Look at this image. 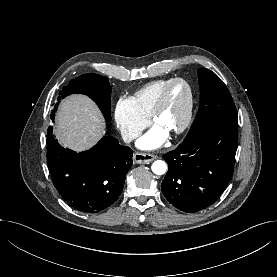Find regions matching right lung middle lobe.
Listing matches in <instances>:
<instances>
[{
  "label": "right lung middle lobe",
  "instance_id": "1",
  "mask_svg": "<svg viewBox=\"0 0 277 277\" xmlns=\"http://www.w3.org/2000/svg\"><path fill=\"white\" fill-rule=\"evenodd\" d=\"M111 89L107 77L94 73L85 74L71 80L67 86L63 87L58 100L72 93L85 94L98 105L105 119L110 121Z\"/></svg>",
  "mask_w": 277,
  "mask_h": 277
}]
</instances>
